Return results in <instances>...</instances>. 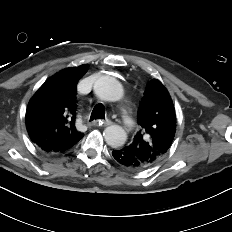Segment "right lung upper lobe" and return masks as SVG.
<instances>
[{"instance_id": "1", "label": "right lung upper lobe", "mask_w": 232, "mask_h": 232, "mask_svg": "<svg viewBox=\"0 0 232 232\" xmlns=\"http://www.w3.org/2000/svg\"><path fill=\"white\" fill-rule=\"evenodd\" d=\"M88 65L66 68L47 79L25 115L30 140L49 154L64 153L84 136L76 130V90Z\"/></svg>"}]
</instances>
